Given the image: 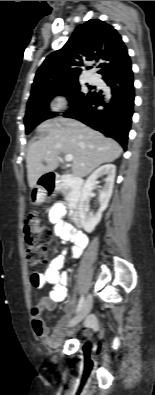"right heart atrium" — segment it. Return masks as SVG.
I'll list each match as a JSON object with an SVG mask.
<instances>
[{
    "label": "right heart atrium",
    "mask_w": 155,
    "mask_h": 395,
    "mask_svg": "<svg viewBox=\"0 0 155 395\" xmlns=\"http://www.w3.org/2000/svg\"><path fill=\"white\" fill-rule=\"evenodd\" d=\"M66 98L64 96L58 95L54 97L50 104V110L54 113L62 111L66 107Z\"/></svg>",
    "instance_id": "d8ad5b80"
}]
</instances>
